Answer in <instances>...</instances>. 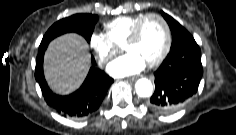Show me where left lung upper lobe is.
Returning <instances> with one entry per match:
<instances>
[{"label":"left lung upper lobe","mask_w":236,"mask_h":135,"mask_svg":"<svg viewBox=\"0 0 236 135\" xmlns=\"http://www.w3.org/2000/svg\"><path fill=\"white\" fill-rule=\"evenodd\" d=\"M162 16L164 17V19L168 22L169 26L170 24L177 22L176 20H174L171 16H169L168 14L164 13L163 11H161ZM187 36L189 39L194 40V38L192 37V35L188 32Z\"/></svg>","instance_id":"5c2ea615"}]
</instances>
